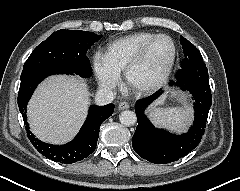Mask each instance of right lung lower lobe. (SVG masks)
Segmentation results:
<instances>
[{
    "mask_svg": "<svg viewBox=\"0 0 240 191\" xmlns=\"http://www.w3.org/2000/svg\"><path fill=\"white\" fill-rule=\"evenodd\" d=\"M54 74H73L72 72L49 68L38 71H25L21 74V83L18 93V106L22 114L28 138L33 146L45 157L59 163L71 164L88 157L96 148L99 137L100 124L110 117L114 111V105H92L88 116L76 137L64 145H52L40 141L30 131L27 122L26 108L37 85L46 77Z\"/></svg>",
    "mask_w": 240,
    "mask_h": 191,
    "instance_id": "obj_1",
    "label": "right lung lower lobe"
}]
</instances>
